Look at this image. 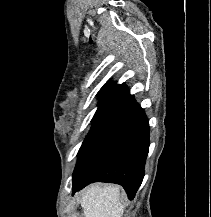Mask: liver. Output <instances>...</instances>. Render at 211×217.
<instances>
[{
  "instance_id": "6515ba94",
  "label": "liver",
  "mask_w": 211,
  "mask_h": 217,
  "mask_svg": "<svg viewBox=\"0 0 211 217\" xmlns=\"http://www.w3.org/2000/svg\"><path fill=\"white\" fill-rule=\"evenodd\" d=\"M81 207L85 217H122L120 187L91 185L82 194Z\"/></svg>"
}]
</instances>
